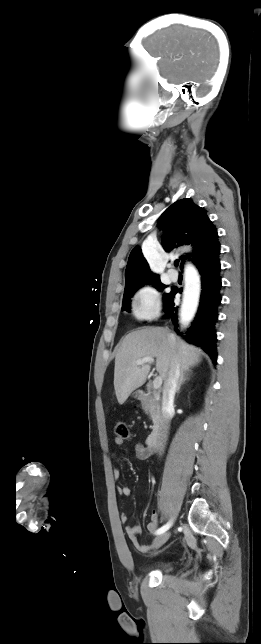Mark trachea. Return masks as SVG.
Masks as SVG:
<instances>
[{"label":"trachea","instance_id":"3493384b","mask_svg":"<svg viewBox=\"0 0 261 644\" xmlns=\"http://www.w3.org/2000/svg\"><path fill=\"white\" fill-rule=\"evenodd\" d=\"M174 264H175V266H178L179 265V260H175Z\"/></svg>","mask_w":261,"mask_h":644}]
</instances>
